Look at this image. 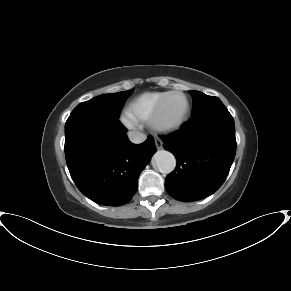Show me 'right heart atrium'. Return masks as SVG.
Returning a JSON list of instances; mask_svg holds the SVG:
<instances>
[{
    "label": "right heart atrium",
    "instance_id": "1",
    "mask_svg": "<svg viewBox=\"0 0 291 291\" xmlns=\"http://www.w3.org/2000/svg\"><path fill=\"white\" fill-rule=\"evenodd\" d=\"M123 122L127 125V126H132L134 125V121L126 114L123 116Z\"/></svg>",
    "mask_w": 291,
    "mask_h": 291
}]
</instances>
